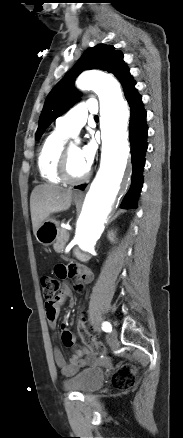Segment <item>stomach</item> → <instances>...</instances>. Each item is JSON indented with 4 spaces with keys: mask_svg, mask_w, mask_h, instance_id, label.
I'll return each mask as SVG.
<instances>
[{
    "mask_svg": "<svg viewBox=\"0 0 183 438\" xmlns=\"http://www.w3.org/2000/svg\"><path fill=\"white\" fill-rule=\"evenodd\" d=\"M74 202H78L79 198L74 197ZM59 223L54 218H47L38 227L35 236L39 243L44 246H49L55 242L59 236Z\"/></svg>",
    "mask_w": 183,
    "mask_h": 438,
    "instance_id": "obj_1",
    "label": "stomach"
}]
</instances>
